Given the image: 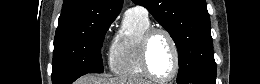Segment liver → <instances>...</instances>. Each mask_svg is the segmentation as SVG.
I'll return each mask as SVG.
<instances>
[{
  "mask_svg": "<svg viewBox=\"0 0 260 84\" xmlns=\"http://www.w3.org/2000/svg\"><path fill=\"white\" fill-rule=\"evenodd\" d=\"M77 84H151L149 81L137 78H111L105 79L94 75L81 77Z\"/></svg>",
  "mask_w": 260,
  "mask_h": 84,
  "instance_id": "liver-1",
  "label": "liver"
}]
</instances>
